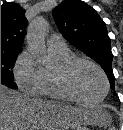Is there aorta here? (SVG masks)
Masks as SVG:
<instances>
[{"instance_id":"1","label":"aorta","mask_w":123,"mask_h":130,"mask_svg":"<svg viewBox=\"0 0 123 130\" xmlns=\"http://www.w3.org/2000/svg\"><path fill=\"white\" fill-rule=\"evenodd\" d=\"M47 22L43 17H37L29 26L26 35L27 45L36 59L45 66L52 62L45 45Z\"/></svg>"}]
</instances>
